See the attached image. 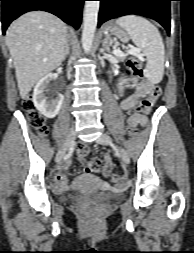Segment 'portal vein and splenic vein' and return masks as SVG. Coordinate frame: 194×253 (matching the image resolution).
<instances>
[{
	"label": "portal vein and splenic vein",
	"instance_id": "obj_1",
	"mask_svg": "<svg viewBox=\"0 0 194 253\" xmlns=\"http://www.w3.org/2000/svg\"><path fill=\"white\" fill-rule=\"evenodd\" d=\"M139 53H140V49H137L135 47H131L130 50L128 51V54H131V55H138ZM113 54L116 56H123L124 55V53L119 49H114Z\"/></svg>",
	"mask_w": 194,
	"mask_h": 253
}]
</instances>
